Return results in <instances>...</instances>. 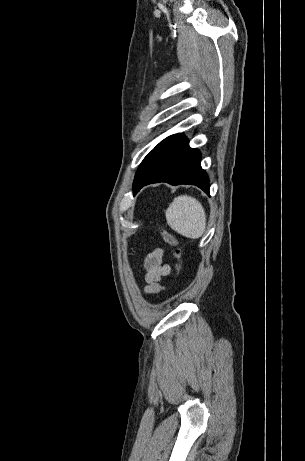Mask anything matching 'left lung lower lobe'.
<instances>
[{"mask_svg":"<svg viewBox=\"0 0 305 461\" xmlns=\"http://www.w3.org/2000/svg\"><path fill=\"white\" fill-rule=\"evenodd\" d=\"M151 152V168L133 187L134 194L143 186L157 182L192 184L209 194V179L200 166L201 155L197 149L189 147L183 134L167 137Z\"/></svg>","mask_w":305,"mask_h":461,"instance_id":"1","label":"left lung lower lobe"}]
</instances>
